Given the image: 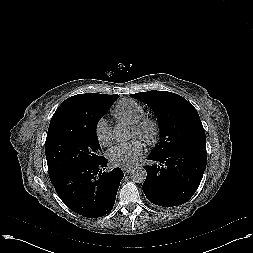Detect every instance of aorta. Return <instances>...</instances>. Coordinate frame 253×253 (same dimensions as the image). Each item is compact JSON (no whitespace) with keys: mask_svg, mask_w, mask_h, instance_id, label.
<instances>
[{"mask_svg":"<svg viewBox=\"0 0 253 253\" xmlns=\"http://www.w3.org/2000/svg\"><path fill=\"white\" fill-rule=\"evenodd\" d=\"M115 138L119 141L127 140L130 138L129 127L125 124H118L114 127ZM131 180L135 183H143L146 180L147 172L143 168H135L130 174Z\"/></svg>","mask_w":253,"mask_h":253,"instance_id":"obj_1","label":"aorta"}]
</instances>
